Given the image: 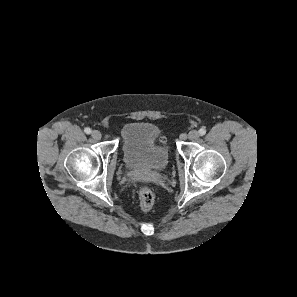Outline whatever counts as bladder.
<instances>
[{
	"label": "bladder",
	"mask_w": 297,
	"mask_h": 297,
	"mask_svg": "<svg viewBox=\"0 0 297 297\" xmlns=\"http://www.w3.org/2000/svg\"><path fill=\"white\" fill-rule=\"evenodd\" d=\"M160 134L159 128L148 122H132L123 128L121 151L129 169L150 172L167 168L170 157L159 142Z\"/></svg>",
	"instance_id": "bladder-1"
}]
</instances>
